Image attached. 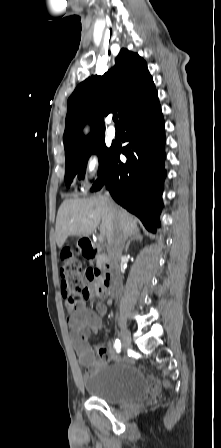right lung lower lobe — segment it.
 Returning a JSON list of instances; mask_svg holds the SVG:
<instances>
[{
    "instance_id": "obj_1",
    "label": "right lung lower lobe",
    "mask_w": 221,
    "mask_h": 448,
    "mask_svg": "<svg viewBox=\"0 0 221 448\" xmlns=\"http://www.w3.org/2000/svg\"><path fill=\"white\" fill-rule=\"evenodd\" d=\"M123 148L113 146L103 175L92 191L106 184L113 199L141 219L147 230L155 232L160 225L163 206L162 186L166 176L164 120L157 92L140 106L127 113L121 121ZM127 157L122 163L119 155Z\"/></svg>"
}]
</instances>
